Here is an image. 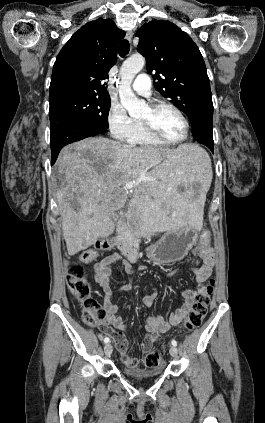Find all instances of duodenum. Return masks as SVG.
<instances>
[{
  "label": "duodenum",
  "instance_id": "obj_1",
  "mask_svg": "<svg viewBox=\"0 0 265 423\" xmlns=\"http://www.w3.org/2000/svg\"><path fill=\"white\" fill-rule=\"evenodd\" d=\"M125 231L126 220L123 219L119 222L118 233L115 238V242L118 245L119 249L130 261H135L139 257V251L137 247L133 244V242L125 237Z\"/></svg>",
  "mask_w": 265,
  "mask_h": 423
}]
</instances>
